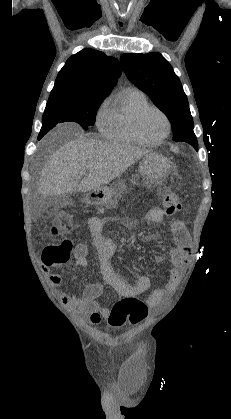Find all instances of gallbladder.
Here are the masks:
<instances>
[{"label": "gallbladder", "mask_w": 231, "mask_h": 419, "mask_svg": "<svg viewBox=\"0 0 231 419\" xmlns=\"http://www.w3.org/2000/svg\"><path fill=\"white\" fill-rule=\"evenodd\" d=\"M70 201H71L70 196L68 194H63V195L59 196L58 199L51 200L50 202L53 205H61V206H64V205L69 204Z\"/></svg>", "instance_id": "bac80fb5"}]
</instances>
